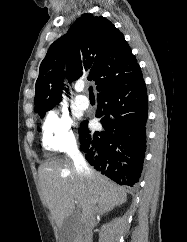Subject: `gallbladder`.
<instances>
[{
  "label": "gallbladder",
  "mask_w": 187,
  "mask_h": 242,
  "mask_svg": "<svg viewBox=\"0 0 187 242\" xmlns=\"http://www.w3.org/2000/svg\"><path fill=\"white\" fill-rule=\"evenodd\" d=\"M78 216V213H73L64 220L61 228V242H73V229L77 225Z\"/></svg>",
  "instance_id": "gallbladder-1"
}]
</instances>
